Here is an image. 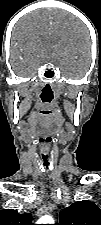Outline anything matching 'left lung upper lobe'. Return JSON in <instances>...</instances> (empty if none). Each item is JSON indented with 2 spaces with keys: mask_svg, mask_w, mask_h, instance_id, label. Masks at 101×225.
Here are the masks:
<instances>
[{
  "mask_svg": "<svg viewBox=\"0 0 101 225\" xmlns=\"http://www.w3.org/2000/svg\"><path fill=\"white\" fill-rule=\"evenodd\" d=\"M58 225H101V210L87 200L75 202L61 211Z\"/></svg>",
  "mask_w": 101,
  "mask_h": 225,
  "instance_id": "1",
  "label": "left lung upper lobe"
}]
</instances>
